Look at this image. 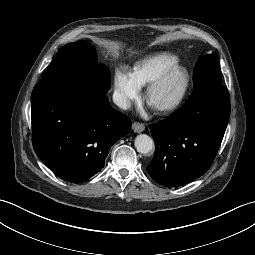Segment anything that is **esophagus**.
Wrapping results in <instances>:
<instances>
[{"instance_id": "obj_1", "label": "esophagus", "mask_w": 255, "mask_h": 255, "mask_svg": "<svg viewBox=\"0 0 255 255\" xmlns=\"http://www.w3.org/2000/svg\"><path fill=\"white\" fill-rule=\"evenodd\" d=\"M132 129H133L134 132L140 133V132L144 131L145 126H144V124H142L140 122H134L132 124Z\"/></svg>"}]
</instances>
